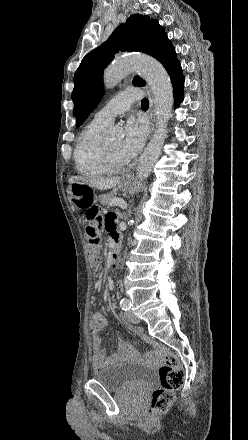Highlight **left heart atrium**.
I'll return each instance as SVG.
<instances>
[{
    "instance_id": "1",
    "label": "left heart atrium",
    "mask_w": 248,
    "mask_h": 440,
    "mask_svg": "<svg viewBox=\"0 0 248 440\" xmlns=\"http://www.w3.org/2000/svg\"><path fill=\"white\" fill-rule=\"evenodd\" d=\"M146 134V126L142 120L136 118L127 120L124 127V138L119 148V153L126 162L133 159L142 149Z\"/></svg>"
}]
</instances>
